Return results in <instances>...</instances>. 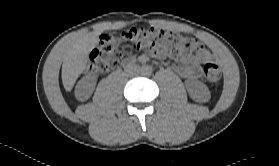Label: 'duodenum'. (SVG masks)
Segmentation results:
<instances>
[{
    "label": "duodenum",
    "mask_w": 279,
    "mask_h": 166,
    "mask_svg": "<svg viewBox=\"0 0 279 166\" xmlns=\"http://www.w3.org/2000/svg\"><path fill=\"white\" fill-rule=\"evenodd\" d=\"M136 63L137 62L133 59H124L123 62H122V66L126 67V68H129V67L134 66Z\"/></svg>",
    "instance_id": "1"
}]
</instances>
